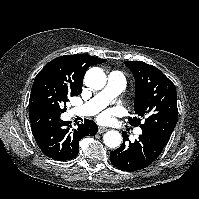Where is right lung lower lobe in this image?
Listing matches in <instances>:
<instances>
[{
  "label": "right lung lower lobe",
  "instance_id": "right-lung-lower-lobe-1",
  "mask_svg": "<svg viewBox=\"0 0 199 199\" xmlns=\"http://www.w3.org/2000/svg\"><path fill=\"white\" fill-rule=\"evenodd\" d=\"M60 115L49 108L29 110L33 136L42 152L54 160L66 161L78 155L79 141L95 135L98 128L91 120L73 128L71 122L61 120Z\"/></svg>",
  "mask_w": 199,
  "mask_h": 199
}]
</instances>
